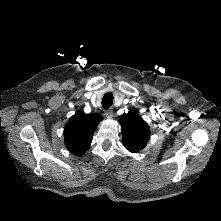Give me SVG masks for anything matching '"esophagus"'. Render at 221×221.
Segmentation results:
<instances>
[{"instance_id": "34e87169", "label": "esophagus", "mask_w": 221, "mask_h": 221, "mask_svg": "<svg viewBox=\"0 0 221 221\" xmlns=\"http://www.w3.org/2000/svg\"><path fill=\"white\" fill-rule=\"evenodd\" d=\"M106 118H112L113 117V111L111 109H108L104 113Z\"/></svg>"}]
</instances>
